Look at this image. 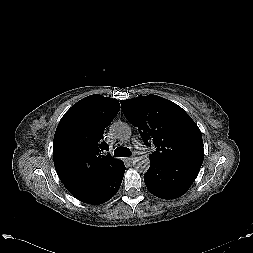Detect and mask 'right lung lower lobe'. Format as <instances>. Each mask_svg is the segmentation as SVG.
Returning a JSON list of instances; mask_svg holds the SVG:
<instances>
[{
  "mask_svg": "<svg viewBox=\"0 0 253 253\" xmlns=\"http://www.w3.org/2000/svg\"><path fill=\"white\" fill-rule=\"evenodd\" d=\"M125 172L124 164L120 167V169L105 183L97 186L96 188L92 189L85 195L77 198L78 200L93 205H99L110 198H112L120 188L123 176Z\"/></svg>",
  "mask_w": 253,
  "mask_h": 253,
  "instance_id": "98d812e1",
  "label": "right lung lower lobe"
}]
</instances>
